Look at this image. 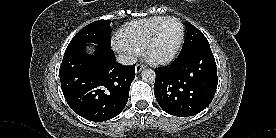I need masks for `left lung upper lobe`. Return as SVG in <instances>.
I'll return each mask as SVG.
<instances>
[{
	"mask_svg": "<svg viewBox=\"0 0 276 138\" xmlns=\"http://www.w3.org/2000/svg\"><path fill=\"white\" fill-rule=\"evenodd\" d=\"M186 29L187 33L185 41L179 55H184L198 46L209 45V42L203 33L191 23L186 22Z\"/></svg>",
	"mask_w": 276,
	"mask_h": 138,
	"instance_id": "1",
	"label": "left lung upper lobe"
}]
</instances>
